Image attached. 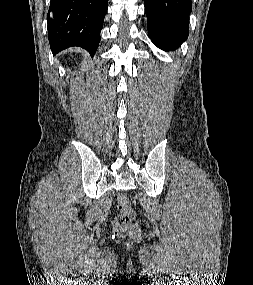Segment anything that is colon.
Returning <instances> with one entry per match:
<instances>
[{
    "mask_svg": "<svg viewBox=\"0 0 253 285\" xmlns=\"http://www.w3.org/2000/svg\"><path fill=\"white\" fill-rule=\"evenodd\" d=\"M117 206L119 213L113 223L115 232L123 237L136 238L140 234V227L135 222V211L129 198L124 194L119 195Z\"/></svg>",
    "mask_w": 253,
    "mask_h": 285,
    "instance_id": "colon-1",
    "label": "colon"
}]
</instances>
